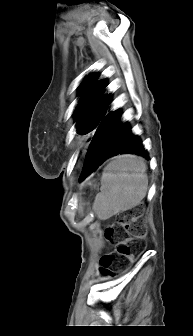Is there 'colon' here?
Returning a JSON list of instances; mask_svg holds the SVG:
<instances>
[{
	"mask_svg": "<svg viewBox=\"0 0 193 336\" xmlns=\"http://www.w3.org/2000/svg\"><path fill=\"white\" fill-rule=\"evenodd\" d=\"M147 234L146 225L139 220L135 210H129L118 215L116 222L105 229V237L116 244L114 253H106L100 258L102 273L110 275L116 256L134 257L142 248Z\"/></svg>",
	"mask_w": 193,
	"mask_h": 336,
	"instance_id": "5ec220e1",
	"label": "colon"
}]
</instances>
